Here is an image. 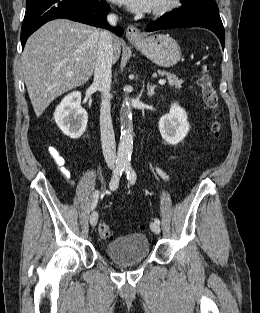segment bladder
<instances>
[{
	"label": "bladder",
	"mask_w": 260,
	"mask_h": 313,
	"mask_svg": "<svg viewBox=\"0 0 260 313\" xmlns=\"http://www.w3.org/2000/svg\"><path fill=\"white\" fill-rule=\"evenodd\" d=\"M105 254L118 266L138 265L150 255V243L142 233L129 234L110 241Z\"/></svg>",
	"instance_id": "31cf9c89"
}]
</instances>
